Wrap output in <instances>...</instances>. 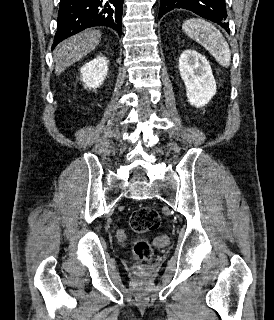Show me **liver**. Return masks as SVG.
I'll list each match as a JSON object with an SVG mask.
<instances>
[{"instance_id": "6515ba94", "label": "liver", "mask_w": 274, "mask_h": 320, "mask_svg": "<svg viewBox=\"0 0 274 320\" xmlns=\"http://www.w3.org/2000/svg\"><path fill=\"white\" fill-rule=\"evenodd\" d=\"M101 36L100 30L89 28V30H84V32L71 36L68 40L58 44L54 50L56 76H60L61 72H64L66 68H69L75 62H79L84 56L95 50L96 46L100 44Z\"/></svg>"}]
</instances>
